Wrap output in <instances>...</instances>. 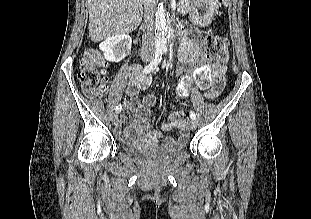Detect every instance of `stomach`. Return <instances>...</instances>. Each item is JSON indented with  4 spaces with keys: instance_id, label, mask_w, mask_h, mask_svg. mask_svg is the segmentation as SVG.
<instances>
[{
    "instance_id": "stomach-1",
    "label": "stomach",
    "mask_w": 311,
    "mask_h": 219,
    "mask_svg": "<svg viewBox=\"0 0 311 219\" xmlns=\"http://www.w3.org/2000/svg\"><path fill=\"white\" fill-rule=\"evenodd\" d=\"M217 0H192L190 20L199 27L208 26L214 17Z\"/></svg>"
}]
</instances>
